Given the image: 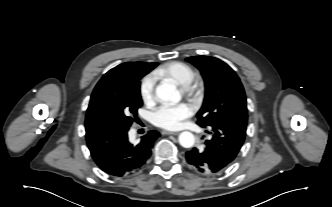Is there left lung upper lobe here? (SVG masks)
Instances as JSON below:
<instances>
[{"instance_id": "5c2ea615", "label": "left lung upper lobe", "mask_w": 332, "mask_h": 207, "mask_svg": "<svg viewBox=\"0 0 332 207\" xmlns=\"http://www.w3.org/2000/svg\"><path fill=\"white\" fill-rule=\"evenodd\" d=\"M186 60L201 71L205 81V98L197 113V124L203 128L231 123L246 126V96L234 70L214 57L193 56Z\"/></svg>"}]
</instances>
